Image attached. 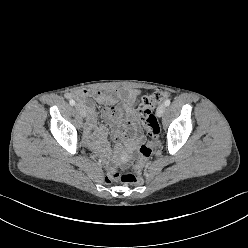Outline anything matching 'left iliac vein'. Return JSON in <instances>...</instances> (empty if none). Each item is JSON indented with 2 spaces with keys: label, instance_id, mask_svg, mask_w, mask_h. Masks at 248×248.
I'll list each match as a JSON object with an SVG mask.
<instances>
[{
  "label": "left iliac vein",
  "instance_id": "4c4485c4",
  "mask_svg": "<svg viewBox=\"0 0 248 248\" xmlns=\"http://www.w3.org/2000/svg\"><path fill=\"white\" fill-rule=\"evenodd\" d=\"M166 110V105L165 104H160L156 110V114L158 117H162L164 112Z\"/></svg>",
  "mask_w": 248,
  "mask_h": 248
}]
</instances>
